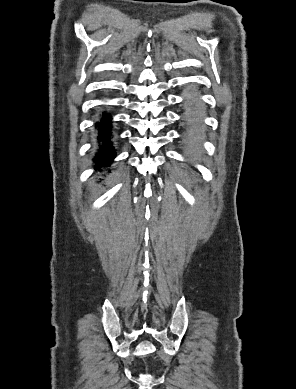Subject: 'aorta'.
<instances>
[{
	"label": "aorta",
	"instance_id": "762f6f07",
	"mask_svg": "<svg viewBox=\"0 0 296 389\" xmlns=\"http://www.w3.org/2000/svg\"><path fill=\"white\" fill-rule=\"evenodd\" d=\"M187 110L191 113L188 116L190 122L187 125V130L190 134H193V139L196 142H201L204 139V134L201 132L202 121L199 118L203 115V107L200 104H190ZM185 148L188 151H193L196 148V143L193 140H188L185 143Z\"/></svg>",
	"mask_w": 296,
	"mask_h": 389
}]
</instances>
